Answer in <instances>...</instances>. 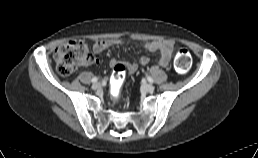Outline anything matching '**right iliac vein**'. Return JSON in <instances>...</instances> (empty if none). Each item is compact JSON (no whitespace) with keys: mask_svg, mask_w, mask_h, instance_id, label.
<instances>
[{"mask_svg":"<svg viewBox=\"0 0 258 158\" xmlns=\"http://www.w3.org/2000/svg\"><path fill=\"white\" fill-rule=\"evenodd\" d=\"M100 87H101V84H100V83H94V84L92 85V89H93V90H98Z\"/></svg>","mask_w":258,"mask_h":158,"instance_id":"63e3f726","label":"right iliac vein"}]
</instances>
